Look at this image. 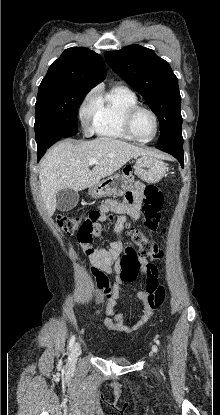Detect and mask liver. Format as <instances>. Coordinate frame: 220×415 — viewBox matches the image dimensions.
<instances>
[{
  "mask_svg": "<svg viewBox=\"0 0 220 415\" xmlns=\"http://www.w3.org/2000/svg\"><path fill=\"white\" fill-rule=\"evenodd\" d=\"M152 156L153 153L125 141L100 137L73 144L63 141L45 155L39 172L40 192L45 207L52 215L56 208V194L62 189L84 190L111 176L131 158ZM96 158L92 170L89 159Z\"/></svg>",
  "mask_w": 220,
  "mask_h": 415,
  "instance_id": "liver-1",
  "label": "liver"
}]
</instances>
